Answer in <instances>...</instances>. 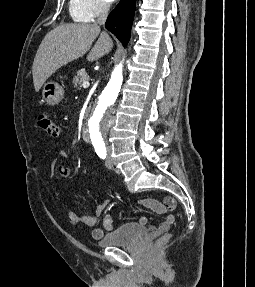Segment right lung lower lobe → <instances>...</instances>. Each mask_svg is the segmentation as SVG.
I'll list each match as a JSON object with an SVG mask.
<instances>
[{"instance_id":"1","label":"right lung lower lobe","mask_w":255,"mask_h":287,"mask_svg":"<svg viewBox=\"0 0 255 287\" xmlns=\"http://www.w3.org/2000/svg\"><path fill=\"white\" fill-rule=\"evenodd\" d=\"M136 0H121L106 20V28L121 41L124 46L130 39Z\"/></svg>"}]
</instances>
